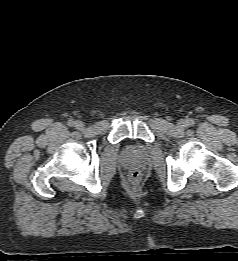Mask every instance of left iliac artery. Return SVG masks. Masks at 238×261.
Wrapping results in <instances>:
<instances>
[{
    "label": "left iliac artery",
    "instance_id": "left-iliac-artery-1",
    "mask_svg": "<svg viewBox=\"0 0 238 261\" xmlns=\"http://www.w3.org/2000/svg\"><path fill=\"white\" fill-rule=\"evenodd\" d=\"M187 123H188L189 126H193L195 124L194 120H192V119H189L187 121Z\"/></svg>",
    "mask_w": 238,
    "mask_h": 261
}]
</instances>
